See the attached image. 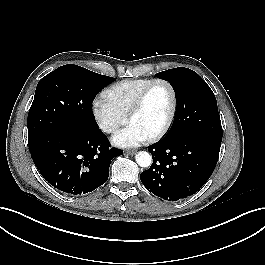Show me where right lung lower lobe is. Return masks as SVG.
Segmentation results:
<instances>
[{
	"instance_id": "1",
	"label": "right lung lower lobe",
	"mask_w": 265,
	"mask_h": 265,
	"mask_svg": "<svg viewBox=\"0 0 265 265\" xmlns=\"http://www.w3.org/2000/svg\"><path fill=\"white\" fill-rule=\"evenodd\" d=\"M31 157L40 174L55 188L85 194L104 184L111 160L123 154L110 149L97 129H65L28 139Z\"/></svg>"
}]
</instances>
